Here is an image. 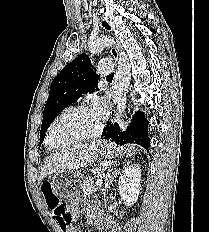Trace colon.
<instances>
[{"mask_svg":"<svg viewBox=\"0 0 209 232\" xmlns=\"http://www.w3.org/2000/svg\"><path fill=\"white\" fill-rule=\"evenodd\" d=\"M42 192L47 205L52 210L53 216L56 219V226H60L63 229L69 227L72 223L73 217L67 208V204L60 202L49 183L43 184Z\"/></svg>","mask_w":209,"mask_h":232,"instance_id":"obj_1","label":"colon"}]
</instances>
